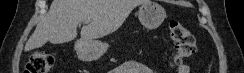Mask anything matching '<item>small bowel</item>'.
<instances>
[{
    "mask_svg": "<svg viewBox=\"0 0 244 73\" xmlns=\"http://www.w3.org/2000/svg\"><path fill=\"white\" fill-rule=\"evenodd\" d=\"M111 73H153V71L141 62L130 60L111 70ZM177 73H190L189 65H180Z\"/></svg>",
    "mask_w": 244,
    "mask_h": 73,
    "instance_id": "c3829d8e",
    "label": "small bowel"
}]
</instances>
